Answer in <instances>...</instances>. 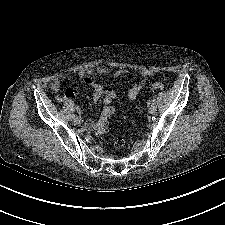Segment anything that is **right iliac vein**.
Returning a JSON list of instances; mask_svg holds the SVG:
<instances>
[{"mask_svg": "<svg viewBox=\"0 0 225 225\" xmlns=\"http://www.w3.org/2000/svg\"><path fill=\"white\" fill-rule=\"evenodd\" d=\"M74 123H75V124H80V123H81L80 118H79V117H76V118L74 119Z\"/></svg>", "mask_w": 225, "mask_h": 225, "instance_id": "right-iliac-vein-1", "label": "right iliac vein"}]
</instances>
